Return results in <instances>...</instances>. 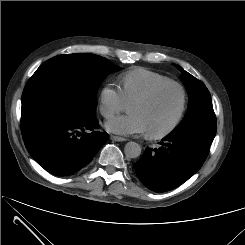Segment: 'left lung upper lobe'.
Returning a JSON list of instances; mask_svg holds the SVG:
<instances>
[{
	"instance_id": "1",
	"label": "left lung upper lobe",
	"mask_w": 245,
	"mask_h": 245,
	"mask_svg": "<svg viewBox=\"0 0 245 245\" xmlns=\"http://www.w3.org/2000/svg\"><path fill=\"white\" fill-rule=\"evenodd\" d=\"M182 79L189 94L188 112L181 124L169 135H190L209 144L216 135V116L210 93L203 82L179 67Z\"/></svg>"
}]
</instances>
